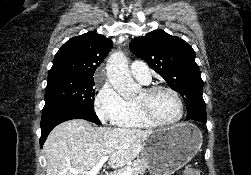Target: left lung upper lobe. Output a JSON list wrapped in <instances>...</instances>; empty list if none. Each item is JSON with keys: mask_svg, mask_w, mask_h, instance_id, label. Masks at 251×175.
Listing matches in <instances>:
<instances>
[{"mask_svg": "<svg viewBox=\"0 0 251 175\" xmlns=\"http://www.w3.org/2000/svg\"><path fill=\"white\" fill-rule=\"evenodd\" d=\"M130 50L180 93L186 104H205L202 97L203 81L195 62V52L183 39L156 30L134 38L130 42Z\"/></svg>", "mask_w": 251, "mask_h": 175, "instance_id": "obj_1", "label": "left lung upper lobe"}]
</instances>
